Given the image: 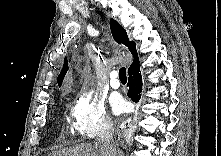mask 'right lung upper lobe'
I'll return each instance as SVG.
<instances>
[{
	"label": "right lung upper lobe",
	"instance_id": "right-lung-upper-lobe-1",
	"mask_svg": "<svg viewBox=\"0 0 221 156\" xmlns=\"http://www.w3.org/2000/svg\"><path fill=\"white\" fill-rule=\"evenodd\" d=\"M110 28H111V32H112V35H113L115 41L117 43H122L125 46H127L133 55V60H132V63L130 64L128 70L132 67L138 66L139 65V58L136 53L135 43L133 41H129L125 29L117 21H115L113 19L110 20ZM67 70H68V64H67V59L65 58L64 66H63V68L57 78V83H58L59 87L62 84V81L64 79V76H65Z\"/></svg>",
	"mask_w": 221,
	"mask_h": 156
}]
</instances>
